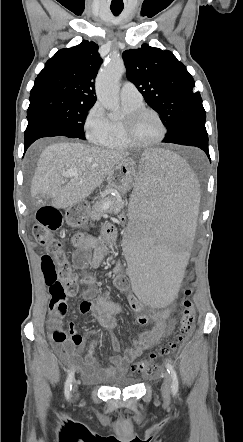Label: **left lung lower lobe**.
<instances>
[{
	"mask_svg": "<svg viewBox=\"0 0 243 442\" xmlns=\"http://www.w3.org/2000/svg\"><path fill=\"white\" fill-rule=\"evenodd\" d=\"M205 120L206 115L191 118L173 136L163 142L199 147L210 159Z\"/></svg>",
	"mask_w": 243,
	"mask_h": 442,
	"instance_id": "0a47b994",
	"label": "left lung lower lobe"
}]
</instances>
